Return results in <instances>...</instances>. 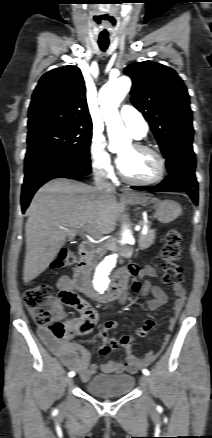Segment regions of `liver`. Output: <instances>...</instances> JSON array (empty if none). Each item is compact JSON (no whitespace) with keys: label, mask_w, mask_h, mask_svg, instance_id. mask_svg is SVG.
<instances>
[{"label":"liver","mask_w":212,"mask_h":438,"mask_svg":"<svg viewBox=\"0 0 212 438\" xmlns=\"http://www.w3.org/2000/svg\"><path fill=\"white\" fill-rule=\"evenodd\" d=\"M27 213L25 283L49 267L66 237L72 239L79 228L87 227L97 235L112 232L118 204L114 191L99 192L84 183L57 178L36 192Z\"/></svg>","instance_id":"obj_1"}]
</instances>
